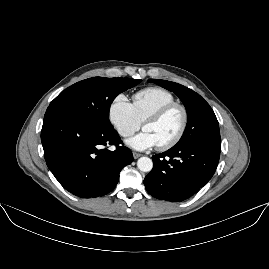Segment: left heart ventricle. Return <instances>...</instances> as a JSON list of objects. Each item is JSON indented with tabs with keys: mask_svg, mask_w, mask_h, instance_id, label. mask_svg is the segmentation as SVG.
Masks as SVG:
<instances>
[{
	"mask_svg": "<svg viewBox=\"0 0 269 269\" xmlns=\"http://www.w3.org/2000/svg\"><path fill=\"white\" fill-rule=\"evenodd\" d=\"M182 125V115L178 110H172L164 116L153 118L144 125V131L149 132L157 146L170 142L179 132Z\"/></svg>",
	"mask_w": 269,
	"mask_h": 269,
	"instance_id": "obj_1",
	"label": "left heart ventricle"
}]
</instances>
